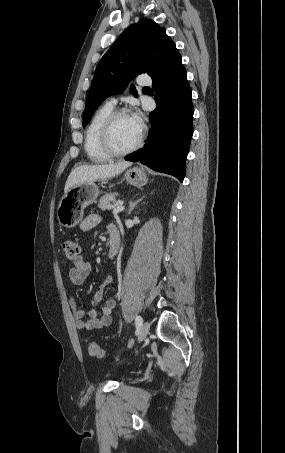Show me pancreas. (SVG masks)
I'll return each instance as SVG.
<instances>
[{"instance_id":"pancreas-1","label":"pancreas","mask_w":285,"mask_h":453,"mask_svg":"<svg viewBox=\"0 0 285 453\" xmlns=\"http://www.w3.org/2000/svg\"><path fill=\"white\" fill-rule=\"evenodd\" d=\"M116 193H109L105 194L103 197L100 198L98 207L101 210H109L117 205V201L115 200ZM113 202V204H111Z\"/></svg>"}]
</instances>
